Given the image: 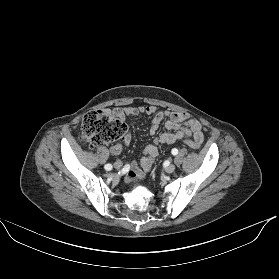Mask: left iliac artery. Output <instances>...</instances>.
Listing matches in <instances>:
<instances>
[{
	"mask_svg": "<svg viewBox=\"0 0 279 279\" xmlns=\"http://www.w3.org/2000/svg\"><path fill=\"white\" fill-rule=\"evenodd\" d=\"M171 153H172L173 155H177V154H178V150H177L176 148H174V149H172Z\"/></svg>",
	"mask_w": 279,
	"mask_h": 279,
	"instance_id": "44dca946",
	"label": "left iliac artery"
}]
</instances>
